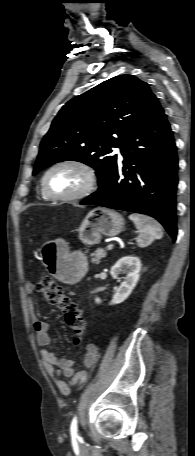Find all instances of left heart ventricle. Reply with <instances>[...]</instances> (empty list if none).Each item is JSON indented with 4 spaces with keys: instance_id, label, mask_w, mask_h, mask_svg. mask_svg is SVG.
<instances>
[{
    "instance_id": "obj_1",
    "label": "left heart ventricle",
    "mask_w": 195,
    "mask_h": 456,
    "mask_svg": "<svg viewBox=\"0 0 195 456\" xmlns=\"http://www.w3.org/2000/svg\"><path fill=\"white\" fill-rule=\"evenodd\" d=\"M85 183V173L75 166L58 167L47 177L49 191L61 196L78 192Z\"/></svg>"
}]
</instances>
